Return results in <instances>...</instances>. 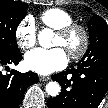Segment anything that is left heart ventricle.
<instances>
[{"label":"left heart ventricle","mask_w":108,"mask_h":108,"mask_svg":"<svg viewBox=\"0 0 108 108\" xmlns=\"http://www.w3.org/2000/svg\"><path fill=\"white\" fill-rule=\"evenodd\" d=\"M80 44L81 38L78 35H73L66 41L62 40L58 35H56L54 40L55 46H60L64 48L67 52L77 49L80 46Z\"/></svg>","instance_id":"left-heart-ventricle-1"}]
</instances>
